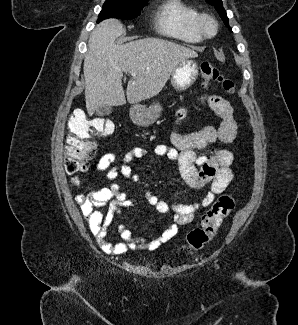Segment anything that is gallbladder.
I'll return each mask as SVG.
<instances>
[{"label":"gallbladder","mask_w":298,"mask_h":325,"mask_svg":"<svg viewBox=\"0 0 298 325\" xmlns=\"http://www.w3.org/2000/svg\"><path fill=\"white\" fill-rule=\"evenodd\" d=\"M112 110V106H98L96 114H98V116H105V114H110Z\"/></svg>","instance_id":"obj_1"}]
</instances>
